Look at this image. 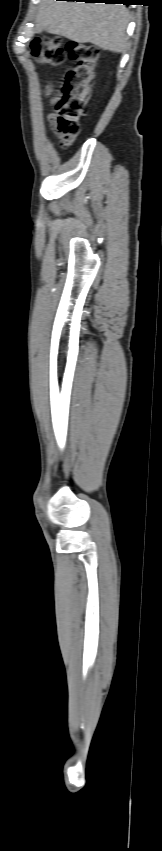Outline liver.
Returning <instances> with one entry per match:
<instances>
[{"mask_svg": "<svg viewBox=\"0 0 162 851\" xmlns=\"http://www.w3.org/2000/svg\"><path fill=\"white\" fill-rule=\"evenodd\" d=\"M129 14L116 4L41 0L36 25L47 33L103 50L122 53L127 48Z\"/></svg>", "mask_w": 162, "mask_h": 851, "instance_id": "1", "label": "liver"}]
</instances>
